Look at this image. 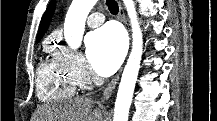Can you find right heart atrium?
I'll use <instances>...</instances> for the list:
<instances>
[{"label": "right heart atrium", "instance_id": "obj_1", "mask_svg": "<svg viewBox=\"0 0 217 121\" xmlns=\"http://www.w3.org/2000/svg\"><path fill=\"white\" fill-rule=\"evenodd\" d=\"M59 59L68 68L70 74L76 80L78 85L86 87L89 83H91L93 77L81 57L75 55L67 49L62 48Z\"/></svg>", "mask_w": 217, "mask_h": 121}]
</instances>
